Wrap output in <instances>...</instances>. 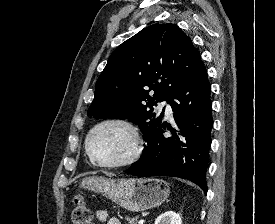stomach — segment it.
<instances>
[{
    "label": "stomach",
    "instance_id": "1",
    "mask_svg": "<svg viewBox=\"0 0 275 224\" xmlns=\"http://www.w3.org/2000/svg\"><path fill=\"white\" fill-rule=\"evenodd\" d=\"M80 187L100 193L131 212H141L160 206L169 196L168 184L158 178L110 179L84 178Z\"/></svg>",
    "mask_w": 275,
    "mask_h": 224
}]
</instances>
